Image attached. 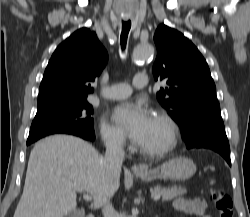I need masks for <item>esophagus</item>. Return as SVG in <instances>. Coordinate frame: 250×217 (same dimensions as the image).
<instances>
[{"label": "esophagus", "mask_w": 250, "mask_h": 217, "mask_svg": "<svg viewBox=\"0 0 250 217\" xmlns=\"http://www.w3.org/2000/svg\"><path fill=\"white\" fill-rule=\"evenodd\" d=\"M143 170H144L143 166H140V165H133L132 166V171L133 172H140V171H143Z\"/></svg>", "instance_id": "1"}]
</instances>
